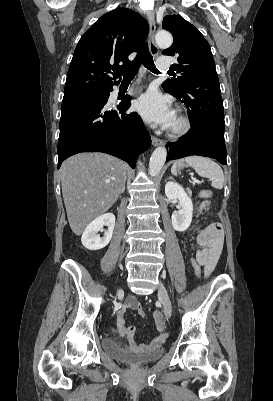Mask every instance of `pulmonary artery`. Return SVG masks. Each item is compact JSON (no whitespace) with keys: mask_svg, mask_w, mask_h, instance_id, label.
<instances>
[{"mask_svg":"<svg viewBox=\"0 0 273 401\" xmlns=\"http://www.w3.org/2000/svg\"><path fill=\"white\" fill-rule=\"evenodd\" d=\"M157 64L160 66L162 72H170L172 69L170 60L166 57H159L157 59Z\"/></svg>","mask_w":273,"mask_h":401,"instance_id":"obj_1","label":"pulmonary artery"}]
</instances>
